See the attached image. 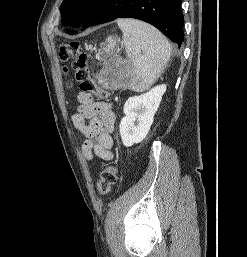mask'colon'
I'll list each match as a JSON object with an SVG mask.
<instances>
[{
	"mask_svg": "<svg viewBox=\"0 0 247 257\" xmlns=\"http://www.w3.org/2000/svg\"><path fill=\"white\" fill-rule=\"evenodd\" d=\"M58 55L61 62L72 61V68L75 71V77L82 92L93 93L101 99L108 96V92L101 88L92 78L87 56L78 42L60 45ZM65 71H67V68H65ZM117 174L118 170L114 165H109L103 169L97 183V190L101 195H106L111 191L117 181Z\"/></svg>",
	"mask_w": 247,
	"mask_h": 257,
	"instance_id": "colon-1",
	"label": "colon"
}]
</instances>
